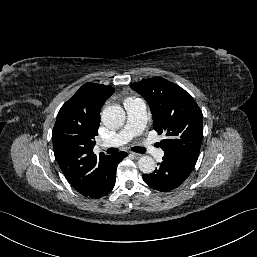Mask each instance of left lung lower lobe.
Instances as JSON below:
<instances>
[{"label":"left lung lower lobe","mask_w":257,"mask_h":257,"mask_svg":"<svg viewBox=\"0 0 257 257\" xmlns=\"http://www.w3.org/2000/svg\"><path fill=\"white\" fill-rule=\"evenodd\" d=\"M192 170L182 167L174 161L163 158L159 168L152 174H144L143 180L147 185L158 191H170L180 186Z\"/></svg>","instance_id":"1"}]
</instances>
